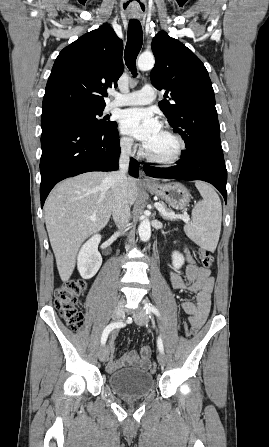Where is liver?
Wrapping results in <instances>:
<instances>
[{"label": "liver", "instance_id": "6515ba94", "mask_svg": "<svg viewBox=\"0 0 269 447\" xmlns=\"http://www.w3.org/2000/svg\"><path fill=\"white\" fill-rule=\"evenodd\" d=\"M111 188L107 174L89 172L64 180L49 194L45 222L62 281H68L72 275L82 241L108 224L112 212ZM127 196L133 206L137 198L134 178L127 180Z\"/></svg>", "mask_w": 269, "mask_h": 447}]
</instances>
